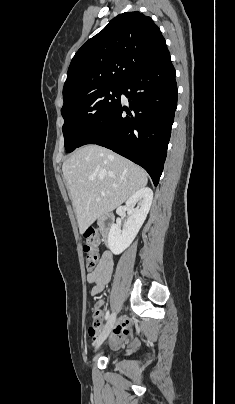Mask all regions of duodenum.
I'll return each mask as SVG.
<instances>
[{"label":"duodenum","mask_w":235,"mask_h":404,"mask_svg":"<svg viewBox=\"0 0 235 404\" xmlns=\"http://www.w3.org/2000/svg\"><path fill=\"white\" fill-rule=\"evenodd\" d=\"M100 231L104 237H108L113 226V218L111 215H104L99 219Z\"/></svg>","instance_id":"410a0bca"}]
</instances>
